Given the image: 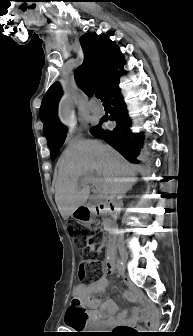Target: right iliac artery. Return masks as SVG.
I'll return each instance as SVG.
<instances>
[{"instance_id":"obj_1","label":"right iliac artery","mask_w":193,"mask_h":336,"mask_svg":"<svg viewBox=\"0 0 193 336\" xmlns=\"http://www.w3.org/2000/svg\"><path fill=\"white\" fill-rule=\"evenodd\" d=\"M118 267L121 268L122 267V262L118 263Z\"/></svg>"}]
</instances>
